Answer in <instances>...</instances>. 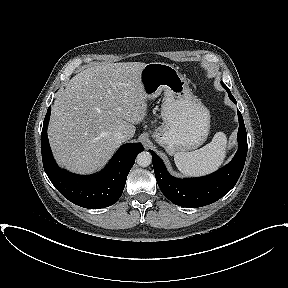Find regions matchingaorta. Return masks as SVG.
Segmentation results:
<instances>
[{
  "label": "aorta",
  "mask_w": 288,
  "mask_h": 288,
  "mask_svg": "<svg viewBox=\"0 0 288 288\" xmlns=\"http://www.w3.org/2000/svg\"><path fill=\"white\" fill-rule=\"evenodd\" d=\"M137 164L141 167H147L152 162V156L149 152L143 151L136 158Z\"/></svg>",
  "instance_id": "762f6f07"
}]
</instances>
